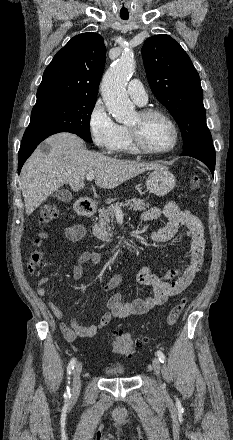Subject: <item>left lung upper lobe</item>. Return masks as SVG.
Instances as JSON below:
<instances>
[{"label": "left lung upper lobe", "mask_w": 233, "mask_h": 440, "mask_svg": "<svg viewBox=\"0 0 233 440\" xmlns=\"http://www.w3.org/2000/svg\"><path fill=\"white\" fill-rule=\"evenodd\" d=\"M142 57L151 90L179 125L183 149L212 142L200 77L180 44L155 35L145 41Z\"/></svg>", "instance_id": "left-lung-upper-lobe-1"}]
</instances>
